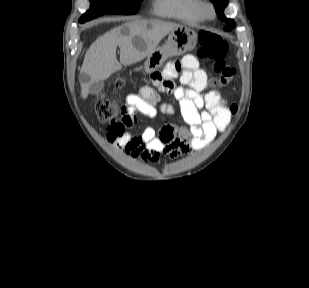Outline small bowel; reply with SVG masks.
Instances as JSON below:
<instances>
[{
    "instance_id": "c3829d8e",
    "label": "small bowel",
    "mask_w": 309,
    "mask_h": 288,
    "mask_svg": "<svg viewBox=\"0 0 309 288\" xmlns=\"http://www.w3.org/2000/svg\"><path fill=\"white\" fill-rule=\"evenodd\" d=\"M177 77L181 83L178 86L174 82ZM153 84L164 86L171 101L159 104V93L151 86H143L138 93L127 96L125 106L131 112L155 118L159 113L173 115L177 102L187 126L146 128L140 135H133L128 131L131 126L111 122L107 140L124 154L143 162L157 163L160 154L175 158L200 151L227 128L232 111L220 92L208 89L207 74L199 67L195 56L188 54L170 63L161 76L153 77Z\"/></svg>"
}]
</instances>
